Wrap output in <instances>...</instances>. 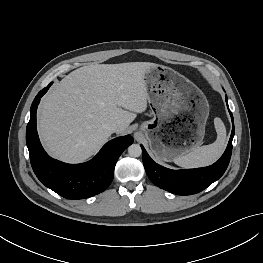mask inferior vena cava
<instances>
[{"instance_id":"1","label":"inferior vena cava","mask_w":263,"mask_h":263,"mask_svg":"<svg viewBox=\"0 0 263 263\" xmlns=\"http://www.w3.org/2000/svg\"><path fill=\"white\" fill-rule=\"evenodd\" d=\"M106 129L110 132V133H114L117 132V130L119 129V125L116 122H112L106 125Z\"/></svg>"}]
</instances>
